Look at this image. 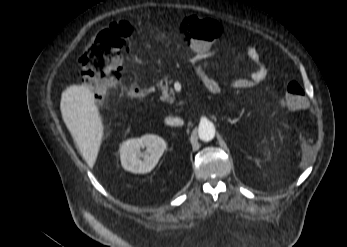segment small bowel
I'll use <instances>...</instances> for the list:
<instances>
[{
    "label": "small bowel",
    "mask_w": 347,
    "mask_h": 247,
    "mask_svg": "<svg viewBox=\"0 0 347 247\" xmlns=\"http://www.w3.org/2000/svg\"><path fill=\"white\" fill-rule=\"evenodd\" d=\"M222 48L219 43L214 44L210 49L205 51H195L189 57V62L196 67V72L203 82L206 89L212 93L220 91L219 83L206 71V61L208 58L218 54ZM245 55L249 61L256 65V69L247 77H237L231 81V86L235 89H246L253 87L264 81L268 75L267 67L262 63L259 51L250 46L246 49Z\"/></svg>",
    "instance_id": "small-bowel-1"
}]
</instances>
